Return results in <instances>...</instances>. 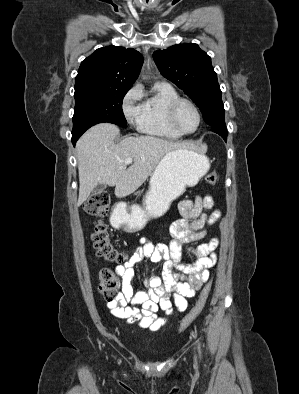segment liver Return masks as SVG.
I'll return each instance as SVG.
<instances>
[{
	"instance_id": "6515ba94",
	"label": "liver",
	"mask_w": 299,
	"mask_h": 394,
	"mask_svg": "<svg viewBox=\"0 0 299 394\" xmlns=\"http://www.w3.org/2000/svg\"><path fill=\"white\" fill-rule=\"evenodd\" d=\"M119 133L116 125L101 123L88 129L78 140V206L98 184L116 186L117 197L130 195L154 173L168 152L184 147L183 143L154 136L126 137L115 144ZM127 158L134 160L128 168L124 163Z\"/></svg>"
}]
</instances>
